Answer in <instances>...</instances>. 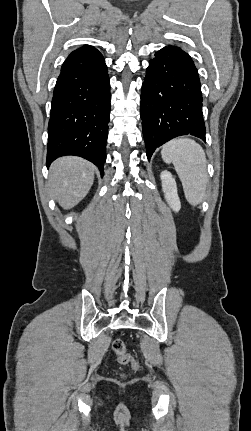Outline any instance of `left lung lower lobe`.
I'll list each match as a JSON object with an SVG mask.
<instances>
[{
  "label": "left lung lower lobe",
  "mask_w": 251,
  "mask_h": 431,
  "mask_svg": "<svg viewBox=\"0 0 251 431\" xmlns=\"http://www.w3.org/2000/svg\"><path fill=\"white\" fill-rule=\"evenodd\" d=\"M202 93L190 56L164 47L150 60L141 92L140 111L147 158L157 147L181 135L205 141Z\"/></svg>",
  "instance_id": "left-lung-lower-lobe-1"
}]
</instances>
